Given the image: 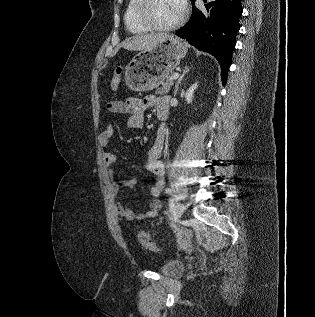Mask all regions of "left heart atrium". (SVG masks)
Segmentation results:
<instances>
[{"label": "left heart atrium", "instance_id": "1", "mask_svg": "<svg viewBox=\"0 0 315 317\" xmlns=\"http://www.w3.org/2000/svg\"><path fill=\"white\" fill-rule=\"evenodd\" d=\"M176 2H177V4H178L179 8H180L181 10H183V8H184V6H185L184 0H176Z\"/></svg>", "mask_w": 315, "mask_h": 317}]
</instances>
